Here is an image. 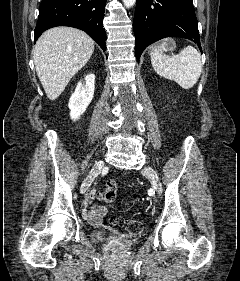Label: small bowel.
Masks as SVG:
<instances>
[{
	"instance_id": "small-bowel-1",
	"label": "small bowel",
	"mask_w": 240,
	"mask_h": 281,
	"mask_svg": "<svg viewBox=\"0 0 240 281\" xmlns=\"http://www.w3.org/2000/svg\"><path fill=\"white\" fill-rule=\"evenodd\" d=\"M103 194L96 190H91L82 202L83 218L92 226H101L103 218L107 213V209L103 205H93L94 199H101Z\"/></svg>"
}]
</instances>
